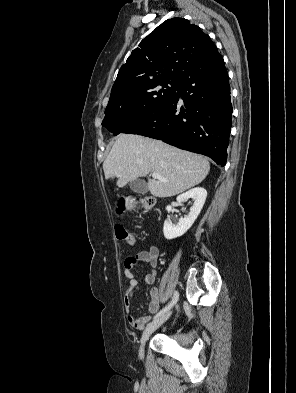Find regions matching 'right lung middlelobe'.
Segmentation results:
<instances>
[{
  "label": "right lung middle lobe",
  "mask_w": 296,
  "mask_h": 393,
  "mask_svg": "<svg viewBox=\"0 0 296 393\" xmlns=\"http://www.w3.org/2000/svg\"><path fill=\"white\" fill-rule=\"evenodd\" d=\"M176 83L159 82L133 98L109 102L102 125L114 135H118L170 99Z\"/></svg>",
  "instance_id": "1"
}]
</instances>
